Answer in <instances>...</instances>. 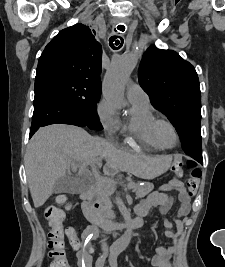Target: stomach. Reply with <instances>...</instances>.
<instances>
[{"label":"stomach","instance_id":"stomach-1","mask_svg":"<svg viewBox=\"0 0 225 267\" xmlns=\"http://www.w3.org/2000/svg\"><path fill=\"white\" fill-rule=\"evenodd\" d=\"M170 165L168 157H160L151 160L146 167L147 176L145 178H154L165 172Z\"/></svg>","mask_w":225,"mask_h":267}]
</instances>
